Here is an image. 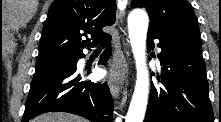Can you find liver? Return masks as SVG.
Listing matches in <instances>:
<instances>
[{
	"mask_svg": "<svg viewBox=\"0 0 221 122\" xmlns=\"http://www.w3.org/2000/svg\"><path fill=\"white\" fill-rule=\"evenodd\" d=\"M32 122H86V119L69 113L56 112L42 114L34 118Z\"/></svg>",
	"mask_w": 221,
	"mask_h": 122,
	"instance_id": "6515ba94",
	"label": "liver"
}]
</instances>
